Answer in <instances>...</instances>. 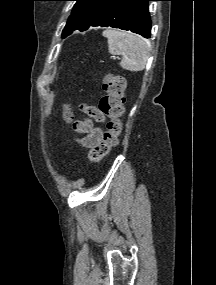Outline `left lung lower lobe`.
I'll list each match as a JSON object with an SVG mask.
<instances>
[{"instance_id": "0a47b994", "label": "left lung lower lobe", "mask_w": 216, "mask_h": 285, "mask_svg": "<svg viewBox=\"0 0 216 285\" xmlns=\"http://www.w3.org/2000/svg\"><path fill=\"white\" fill-rule=\"evenodd\" d=\"M154 0H115L90 24L130 30L145 38L150 37L151 20L148 2ZM88 27V28H89ZM85 28L81 31H85Z\"/></svg>"}]
</instances>
